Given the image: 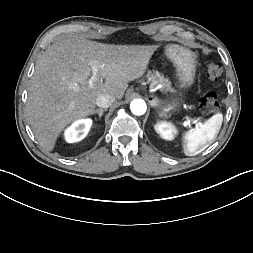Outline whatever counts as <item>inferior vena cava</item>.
I'll return each mask as SVG.
<instances>
[{
	"label": "inferior vena cava",
	"instance_id": "1",
	"mask_svg": "<svg viewBox=\"0 0 253 253\" xmlns=\"http://www.w3.org/2000/svg\"><path fill=\"white\" fill-rule=\"evenodd\" d=\"M114 101V96L110 94H103L97 97L96 105L101 108H108Z\"/></svg>",
	"mask_w": 253,
	"mask_h": 253
}]
</instances>
